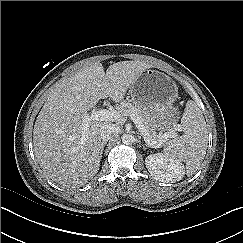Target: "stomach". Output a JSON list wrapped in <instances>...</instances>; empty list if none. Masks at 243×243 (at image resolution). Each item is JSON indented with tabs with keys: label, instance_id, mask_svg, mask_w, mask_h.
Returning <instances> with one entry per match:
<instances>
[{
	"label": "stomach",
	"instance_id": "1",
	"mask_svg": "<svg viewBox=\"0 0 243 243\" xmlns=\"http://www.w3.org/2000/svg\"><path fill=\"white\" fill-rule=\"evenodd\" d=\"M130 96L134 105L150 114L155 130L170 131L178 122L180 111L175 105L178 88L163 72L144 70L131 86Z\"/></svg>",
	"mask_w": 243,
	"mask_h": 243
}]
</instances>
